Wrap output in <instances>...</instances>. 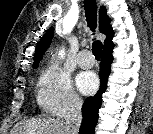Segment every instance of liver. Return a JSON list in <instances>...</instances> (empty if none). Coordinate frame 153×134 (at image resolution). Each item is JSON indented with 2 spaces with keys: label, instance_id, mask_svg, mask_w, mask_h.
<instances>
[{
  "label": "liver",
  "instance_id": "6515ba94",
  "mask_svg": "<svg viewBox=\"0 0 153 134\" xmlns=\"http://www.w3.org/2000/svg\"><path fill=\"white\" fill-rule=\"evenodd\" d=\"M13 134H64L63 123L51 119H32L23 124H17Z\"/></svg>",
  "mask_w": 153,
  "mask_h": 134
}]
</instances>
